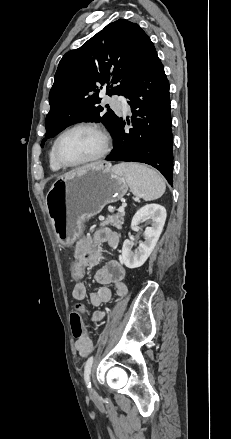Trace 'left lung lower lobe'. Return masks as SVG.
I'll return each mask as SVG.
<instances>
[{
    "instance_id": "0a47b994",
    "label": "left lung lower lobe",
    "mask_w": 231,
    "mask_h": 439,
    "mask_svg": "<svg viewBox=\"0 0 231 439\" xmlns=\"http://www.w3.org/2000/svg\"><path fill=\"white\" fill-rule=\"evenodd\" d=\"M133 128L125 132L119 118L112 135L114 149L108 161L141 162L159 170L173 184V136L169 82L153 46L143 66L127 87Z\"/></svg>"
}]
</instances>
